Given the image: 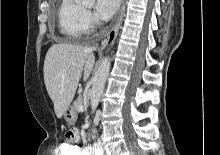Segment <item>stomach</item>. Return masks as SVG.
<instances>
[{
	"mask_svg": "<svg viewBox=\"0 0 220 155\" xmlns=\"http://www.w3.org/2000/svg\"><path fill=\"white\" fill-rule=\"evenodd\" d=\"M64 119L66 121V124L68 126H71L74 124L76 120V113L73 111V109H67L64 113Z\"/></svg>",
	"mask_w": 220,
	"mask_h": 155,
	"instance_id": "stomach-1",
	"label": "stomach"
}]
</instances>
